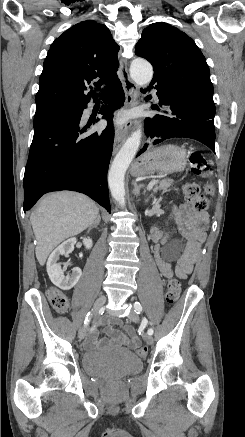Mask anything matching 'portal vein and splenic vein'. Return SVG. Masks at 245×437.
I'll return each mask as SVG.
<instances>
[{"label": "portal vein and splenic vein", "instance_id": "1", "mask_svg": "<svg viewBox=\"0 0 245 437\" xmlns=\"http://www.w3.org/2000/svg\"><path fill=\"white\" fill-rule=\"evenodd\" d=\"M157 182H158V180L153 179V180L148 184L147 189L150 191V190L153 188V186H154Z\"/></svg>", "mask_w": 245, "mask_h": 437}]
</instances>
